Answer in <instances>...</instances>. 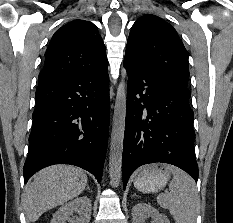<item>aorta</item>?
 Masks as SVG:
<instances>
[{"mask_svg": "<svg viewBox=\"0 0 233 223\" xmlns=\"http://www.w3.org/2000/svg\"><path fill=\"white\" fill-rule=\"evenodd\" d=\"M126 84L120 82L117 88V96L115 100L110 151H109V175L110 183L114 187H118L121 179L123 139L125 131L126 117Z\"/></svg>", "mask_w": 233, "mask_h": 223, "instance_id": "1", "label": "aorta"}]
</instances>
